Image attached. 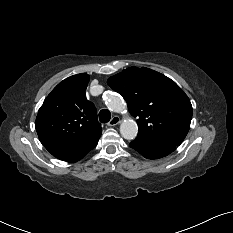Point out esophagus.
I'll return each mask as SVG.
<instances>
[{
    "label": "esophagus",
    "mask_w": 233,
    "mask_h": 233,
    "mask_svg": "<svg viewBox=\"0 0 233 233\" xmlns=\"http://www.w3.org/2000/svg\"><path fill=\"white\" fill-rule=\"evenodd\" d=\"M119 122H120L119 116L115 115L111 118V120L107 123V125L112 127L119 124Z\"/></svg>",
    "instance_id": "1"
}]
</instances>
